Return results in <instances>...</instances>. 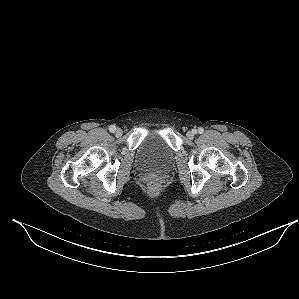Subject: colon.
I'll list each match as a JSON object with an SVG mask.
<instances>
[{
  "mask_svg": "<svg viewBox=\"0 0 299 299\" xmlns=\"http://www.w3.org/2000/svg\"><path fill=\"white\" fill-rule=\"evenodd\" d=\"M148 186H149V189H150L151 191H157L158 188H159V184H158V182L155 181V180H151V181L149 182Z\"/></svg>",
  "mask_w": 299,
  "mask_h": 299,
  "instance_id": "5ec220e1",
  "label": "colon"
}]
</instances>
